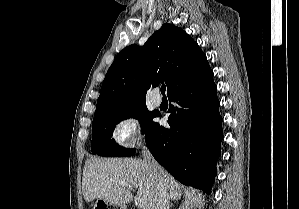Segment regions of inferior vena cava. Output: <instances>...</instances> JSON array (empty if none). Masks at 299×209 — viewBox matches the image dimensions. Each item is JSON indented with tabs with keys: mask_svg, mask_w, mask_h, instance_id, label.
Wrapping results in <instances>:
<instances>
[{
	"mask_svg": "<svg viewBox=\"0 0 299 209\" xmlns=\"http://www.w3.org/2000/svg\"><path fill=\"white\" fill-rule=\"evenodd\" d=\"M142 154L144 162L148 164L149 168L151 169L153 175L155 176L158 182V195L155 200L153 209H169V195L163 178L164 170L155 161L152 154L145 145L143 146Z\"/></svg>",
	"mask_w": 299,
	"mask_h": 209,
	"instance_id": "obj_1",
	"label": "inferior vena cava"
}]
</instances>
